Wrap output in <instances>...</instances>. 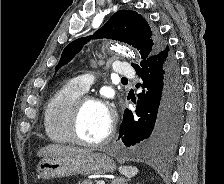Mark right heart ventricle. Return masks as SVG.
Masks as SVG:
<instances>
[{"label": "right heart ventricle", "instance_id": "obj_1", "mask_svg": "<svg viewBox=\"0 0 224 184\" xmlns=\"http://www.w3.org/2000/svg\"><path fill=\"white\" fill-rule=\"evenodd\" d=\"M83 95L72 83L58 89L48 101L44 114L45 133L57 144L71 143L68 122L76 100Z\"/></svg>", "mask_w": 224, "mask_h": 184}]
</instances>
